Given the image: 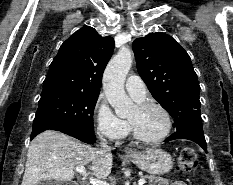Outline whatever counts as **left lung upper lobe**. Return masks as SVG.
Segmentation results:
<instances>
[{
    "label": "left lung upper lobe",
    "mask_w": 233,
    "mask_h": 185,
    "mask_svg": "<svg viewBox=\"0 0 233 185\" xmlns=\"http://www.w3.org/2000/svg\"><path fill=\"white\" fill-rule=\"evenodd\" d=\"M137 70L153 97L174 118L176 130L201 123L200 86L187 52L168 34L134 40Z\"/></svg>",
    "instance_id": "left-lung-upper-lobe-1"
}]
</instances>
